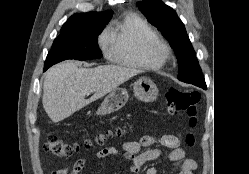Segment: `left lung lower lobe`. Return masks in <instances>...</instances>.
<instances>
[{"mask_svg": "<svg viewBox=\"0 0 249 174\" xmlns=\"http://www.w3.org/2000/svg\"><path fill=\"white\" fill-rule=\"evenodd\" d=\"M191 84L199 86V87L204 88V89H206V87H207L205 80H199V81L193 82Z\"/></svg>", "mask_w": 249, "mask_h": 174, "instance_id": "left-lung-lower-lobe-1", "label": "left lung lower lobe"}]
</instances>
